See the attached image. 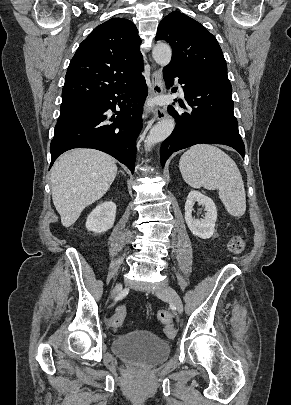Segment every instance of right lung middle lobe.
Masks as SVG:
<instances>
[{
    "instance_id": "obj_1",
    "label": "right lung middle lobe",
    "mask_w": 291,
    "mask_h": 405,
    "mask_svg": "<svg viewBox=\"0 0 291 405\" xmlns=\"http://www.w3.org/2000/svg\"><path fill=\"white\" fill-rule=\"evenodd\" d=\"M91 105H92V101H80V102L61 104L60 116H59L57 122L63 121Z\"/></svg>"
}]
</instances>
